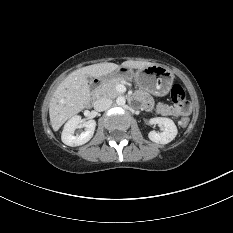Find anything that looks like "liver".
<instances>
[{"mask_svg": "<svg viewBox=\"0 0 233 233\" xmlns=\"http://www.w3.org/2000/svg\"><path fill=\"white\" fill-rule=\"evenodd\" d=\"M153 63L146 61H125L121 67L130 69H143ZM115 63H99L80 68L69 74L55 90L49 104L50 123L54 131L66 120L82 111L88 104L90 87L88 77L101 78L117 70Z\"/></svg>", "mask_w": 233, "mask_h": 233, "instance_id": "obj_1", "label": "liver"}]
</instances>
